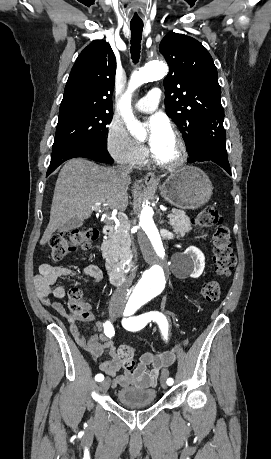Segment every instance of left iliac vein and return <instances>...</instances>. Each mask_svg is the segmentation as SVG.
Returning a JSON list of instances; mask_svg holds the SVG:
<instances>
[{
  "mask_svg": "<svg viewBox=\"0 0 271 459\" xmlns=\"http://www.w3.org/2000/svg\"><path fill=\"white\" fill-rule=\"evenodd\" d=\"M169 376V373L166 369H164L161 373V377H160V382H161V385L163 388H166L167 387V383H166V378Z\"/></svg>",
  "mask_w": 271,
  "mask_h": 459,
  "instance_id": "1",
  "label": "left iliac vein"
}]
</instances>
